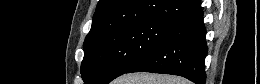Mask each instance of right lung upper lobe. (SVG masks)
I'll use <instances>...</instances> for the list:
<instances>
[{
	"instance_id": "1",
	"label": "right lung upper lobe",
	"mask_w": 260,
	"mask_h": 84,
	"mask_svg": "<svg viewBox=\"0 0 260 84\" xmlns=\"http://www.w3.org/2000/svg\"><path fill=\"white\" fill-rule=\"evenodd\" d=\"M200 7V0H100L84 44L135 22L158 20L174 24Z\"/></svg>"
}]
</instances>
